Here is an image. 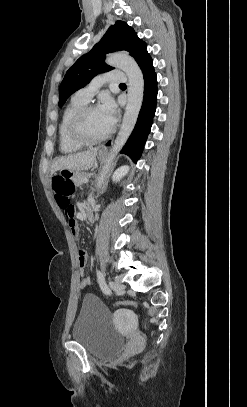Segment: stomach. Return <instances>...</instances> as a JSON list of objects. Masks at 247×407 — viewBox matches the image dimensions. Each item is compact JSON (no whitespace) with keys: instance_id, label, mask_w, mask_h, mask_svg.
Wrapping results in <instances>:
<instances>
[{"instance_id":"obj_1","label":"stomach","mask_w":247,"mask_h":407,"mask_svg":"<svg viewBox=\"0 0 247 407\" xmlns=\"http://www.w3.org/2000/svg\"><path fill=\"white\" fill-rule=\"evenodd\" d=\"M105 153L103 151L99 152V157L102 159L104 157ZM60 176L61 178H78L79 176V171L77 169V166H60Z\"/></svg>"}]
</instances>
